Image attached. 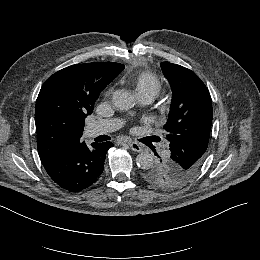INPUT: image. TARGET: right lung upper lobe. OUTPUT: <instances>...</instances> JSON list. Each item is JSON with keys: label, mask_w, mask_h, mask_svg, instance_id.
<instances>
[{"label": "right lung upper lobe", "mask_w": 260, "mask_h": 260, "mask_svg": "<svg viewBox=\"0 0 260 260\" xmlns=\"http://www.w3.org/2000/svg\"><path fill=\"white\" fill-rule=\"evenodd\" d=\"M124 69L114 62L66 67L43 84L35 107L38 153L44 167L81 142L84 120L100 92Z\"/></svg>", "instance_id": "right-lung-upper-lobe-1"}]
</instances>
